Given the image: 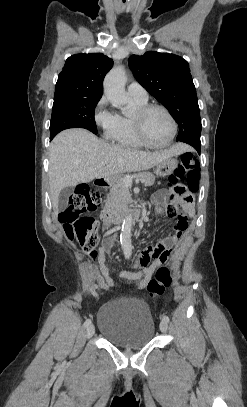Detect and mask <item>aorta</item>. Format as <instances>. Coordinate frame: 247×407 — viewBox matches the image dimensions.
I'll return each mask as SVG.
<instances>
[{"mask_svg":"<svg viewBox=\"0 0 247 407\" xmlns=\"http://www.w3.org/2000/svg\"><path fill=\"white\" fill-rule=\"evenodd\" d=\"M126 72L124 67L112 69L104 79V93L107 99L116 106H121L123 113L129 108L130 99L125 91ZM132 216L128 215L122 224L120 241L123 252L126 256L132 254L131 244Z\"/></svg>","mask_w":247,"mask_h":407,"instance_id":"1","label":"aorta"}]
</instances>
